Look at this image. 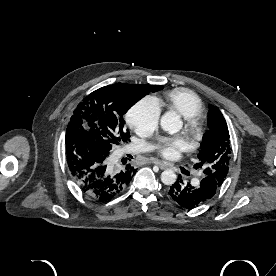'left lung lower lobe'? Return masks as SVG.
Returning a JSON list of instances; mask_svg holds the SVG:
<instances>
[{"label": "left lung lower lobe", "mask_w": 276, "mask_h": 276, "mask_svg": "<svg viewBox=\"0 0 276 276\" xmlns=\"http://www.w3.org/2000/svg\"><path fill=\"white\" fill-rule=\"evenodd\" d=\"M217 190L218 186L209 177H204L197 186H191L190 183L185 184L179 175L178 180L170 187L168 194L179 205L192 209L211 199Z\"/></svg>", "instance_id": "left-lung-lower-lobe-1"}]
</instances>
